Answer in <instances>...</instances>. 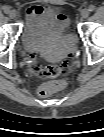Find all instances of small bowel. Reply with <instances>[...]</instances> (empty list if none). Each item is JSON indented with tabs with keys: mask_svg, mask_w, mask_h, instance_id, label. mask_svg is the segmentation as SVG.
<instances>
[{
	"mask_svg": "<svg viewBox=\"0 0 104 137\" xmlns=\"http://www.w3.org/2000/svg\"><path fill=\"white\" fill-rule=\"evenodd\" d=\"M51 7L32 5L27 9V26L30 32H36L40 29H43L46 26L47 19H52L57 14L56 11L47 13L48 10H51ZM61 19L66 22L67 17L59 13Z\"/></svg>",
	"mask_w": 104,
	"mask_h": 137,
	"instance_id": "small-bowel-1",
	"label": "small bowel"
}]
</instances>
